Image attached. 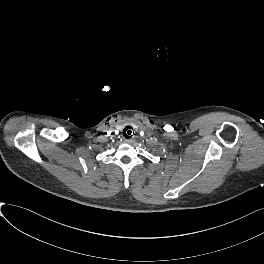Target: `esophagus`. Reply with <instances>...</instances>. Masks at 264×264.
Returning <instances> with one entry per match:
<instances>
[{"label":"esophagus","mask_w":264,"mask_h":264,"mask_svg":"<svg viewBox=\"0 0 264 264\" xmlns=\"http://www.w3.org/2000/svg\"><path fill=\"white\" fill-rule=\"evenodd\" d=\"M125 142H130V140L129 139H126Z\"/></svg>","instance_id":"obj_1"}]
</instances>
